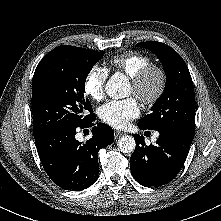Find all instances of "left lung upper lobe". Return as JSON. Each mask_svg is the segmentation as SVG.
<instances>
[{"instance_id": "left-lung-upper-lobe-1", "label": "left lung upper lobe", "mask_w": 221, "mask_h": 221, "mask_svg": "<svg viewBox=\"0 0 221 221\" xmlns=\"http://www.w3.org/2000/svg\"><path fill=\"white\" fill-rule=\"evenodd\" d=\"M137 46L151 50L163 63L166 74L164 92L138 124L145 129L178 127L194 133L195 96L188 67L180 55L161 42H141Z\"/></svg>"}]
</instances>
